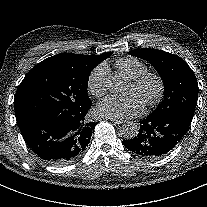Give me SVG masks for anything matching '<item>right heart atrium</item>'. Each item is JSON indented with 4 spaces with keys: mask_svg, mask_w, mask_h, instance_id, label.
Here are the masks:
<instances>
[{
    "mask_svg": "<svg viewBox=\"0 0 207 207\" xmlns=\"http://www.w3.org/2000/svg\"><path fill=\"white\" fill-rule=\"evenodd\" d=\"M109 66L102 62L95 66L87 79L88 90L96 97H101L108 90Z\"/></svg>",
    "mask_w": 207,
    "mask_h": 207,
    "instance_id": "d8ad5b80",
    "label": "right heart atrium"
}]
</instances>
